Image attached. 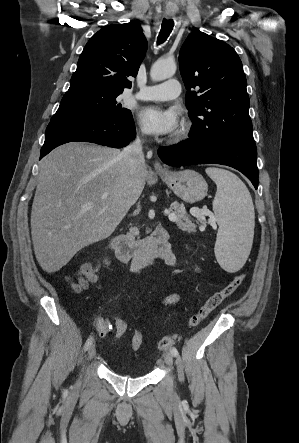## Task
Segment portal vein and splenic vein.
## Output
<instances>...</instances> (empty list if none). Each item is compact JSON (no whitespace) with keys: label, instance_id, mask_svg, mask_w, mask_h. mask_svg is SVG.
I'll list each match as a JSON object with an SVG mask.
<instances>
[{"label":"portal vein and splenic vein","instance_id":"portal-vein-and-splenic-vein-1","mask_svg":"<svg viewBox=\"0 0 299 443\" xmlns=\"http://www.w3.org/2000/svg\"><path fill=\"white\" fill-rule=\"evenodd\" d=\"M83 208H86V209L91 208V204H85V205H83ZM164 213L166 215H168L170 221H172V222L176 221L177 216L174 213H171L170 210H165Z\"/></svg>","mask_w":299,"mask_h":443}]
</instances>
